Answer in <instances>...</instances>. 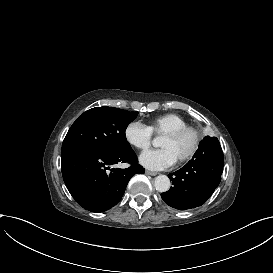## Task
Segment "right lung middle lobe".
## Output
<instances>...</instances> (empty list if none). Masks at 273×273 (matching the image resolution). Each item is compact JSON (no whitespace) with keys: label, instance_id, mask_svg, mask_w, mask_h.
Segmentation results:
<instances>
[{"label":"right lung middle lobe","instance_id":"right-lung-middle-lobe-1","mask_svg":"<svg viewBox=\"0 0 273 273\" xmlns=\"http://www.w3.org/2000/svg\"><path fill=\"white\" fill-rule=\"evenodd\" d=\"M138 112H129L114 107H96L84 112L69 129L61 155L90 149L110 153L131 150L125 130Z\"/></svg>","mask_w":273,"mask_h":273}]
</instances>
